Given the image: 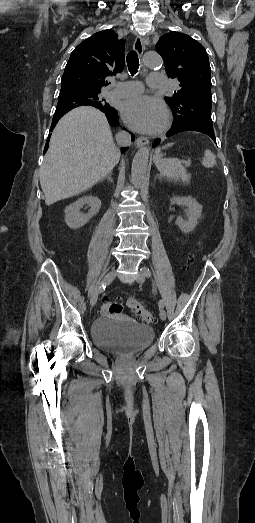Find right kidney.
I'll list each match as a JSON object with an SVG mask.
<instances>
[{"mask_svg":"<svg viewBox=\"0 0 255 523\" xmlns=\"http://www.w3.org/2000/svg\"><path fill=\"white\" fill-rule=\"evenodd\" d=\"M84 204H89V206H91L88 214H82V212H80V208H82ZM100 206L101 200L96 198V196H83V198H79L77 202L70 204V206H67L65 210V222L67 226L72 228V230L81 228V226H84V224H87V222L91 220L94 214L99 212Z\"/></svg>","mask_w":255,"mask_h":523,"instance_id":"ca27d5eb","label":"right kidney"}]
</instances>
